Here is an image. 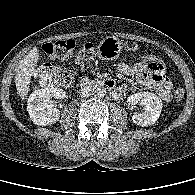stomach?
Instances as JSON below:
<instances>
[{"mask_svg":"<svg viewBox=\"0 0 195 195\" xmlns=\"http://www.w3.org/2000/svg\"><path fill=\"white\" fill-rule=\"evenodd\" d=\"M123 49L122 42L112 36L103 39L97 47V55L102 60H116L118 59Z\"/></svg>","mask_w":195,"mask_h":195,"instance_id":"0dacf381","label":"stomach"}]
</instances>
